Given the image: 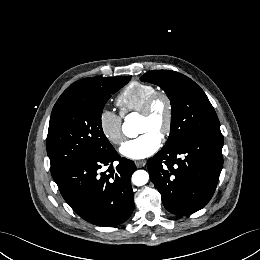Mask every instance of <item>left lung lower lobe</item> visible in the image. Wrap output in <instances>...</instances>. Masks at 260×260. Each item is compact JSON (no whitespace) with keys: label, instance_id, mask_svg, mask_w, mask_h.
<instances>
[{"label":"left lung lower lobe","instance_id":"0a47b994","mask_svg":"<svg viewBox=\"0 0 260 260\" xmlns=\"http://www.w3.org/2000/svg\"><path fill=\"white\" fill-rule=\"evenodd\" d=\"M222 146L221 131L206 132L163 147L148 160L151 181L169 212L189 215L209 202L223 165Z\"/></svg>","mask_w":260,"mask_h":260}]
</instances>
